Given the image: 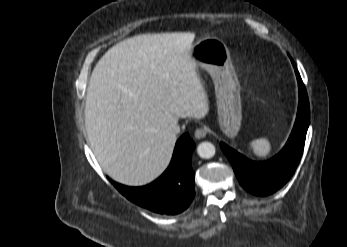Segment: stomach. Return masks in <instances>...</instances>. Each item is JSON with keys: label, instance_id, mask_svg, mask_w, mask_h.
<instances>
[{"label": "stomach", "instance_id": "obj_1", "mask_svg": "<svg viewBox=\"0 0 347 247\" xmlns=\"http://www.w3.org/2000/svg\"><path fill=\"white\" fill-rule=\"evenodd\" d=\"M190 56L213 80L220 129L236 137L242 122L241 88L227 46L218 38H203L192 45Z\"/></svg>", "mask_w": 347, "mask_h": 247}]
</instances>
